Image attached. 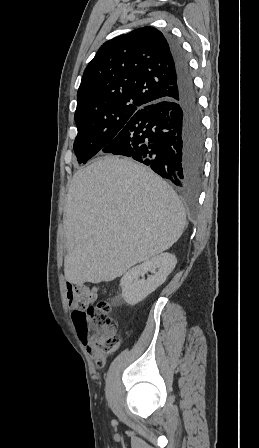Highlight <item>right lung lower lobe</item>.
<instances>
[{
  "instance_id": "obj_1",
  "label": "right lung lower lobe",
  "mask_w": 259,
  "mask_h": 448,
  "mask_svg": "<svg viewBox=\"0 0 259 448\" xmlns=\"http://www.w3.org/2000/svg\"><path fill=\"white\" fill-rule=\"evenodd\" d=\"M177 74L172 96L130 118L101 154L132 157L179 187L199 184L204 131L193 78L180 44L166 35Z\"/></svg>"
}]
</instances>
